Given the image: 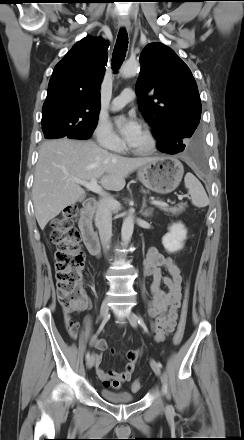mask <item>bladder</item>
Returning a JSON list of instances; mask_svg holds the SVG:
<instances>
[{
	"instance_id": "obj_1",
	"label": "bladder",
	"mask_w": 244,
	"mask_h": 440,
	"mask_svg": "<svg viewBox=\"0 0 244 440\" xmlns=\"http://www.w3.org/2000/svg\"><path fill=\"white\" fill-rule=\"evenodd\" d=\"M103 399L114 404H127L135 401V395L127 391H112L106 387L100 389Z\"/></svg>"
}]
</instances>
